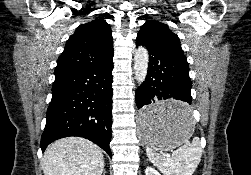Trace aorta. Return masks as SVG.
<instances>
[{
  "instance_id": "obj_1",
  "label": "aorta",
  "mask_w": 251,
  "mask_h": 175,
  "mask_svg": "<svg viewBox=\"0 0 251 175\" xmlns=\"http://www.w3.org/2000/svg\"><path fill=\"white\" fill-rule=\"evenodd\" d=\"M149 56L146 48L139 46L134 54V76L140 86L145 82L148 70Z\"/></svg>"
}]
</instances>
